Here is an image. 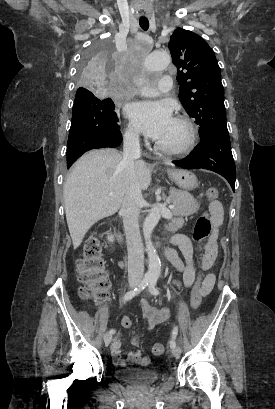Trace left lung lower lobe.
<instances>
[{
	"instance_id": "obj_1",
	"label": "left lung lower lobe",
	"mask_w": 275,
	"mask_h": 409,
	"mask_svg": "<svg viewBox=\"0 0 275 409\" xmlns=\"http://www.w3.org/2000/svg\"><path fill=\"white\" fill-rule=\"evenodd\" d=\"M173 163L187 169L214 171L225 177L235 191L236 168L228 132L218 131L205 136L187 157Z\"/></svg>"
}]
</instances>
